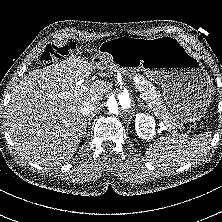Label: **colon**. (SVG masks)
I'll use <instances>...</instances> for the list:
<instances>
[{
    "mask_svg": "<svg viewBox=\"0 0 222 222\" xmlns=\"http://www.w3.org/2000/svg\"><path fill=\"white\" fill-rule=\"evenodd\" d=\"M73 48V43H68L63 46L49 45L43 51L41 60L45 63H53L69 54L70 50Z\"/></svg>",
    "mask_w": 222,
    "mask_h": 222,
    "instance_id": "obj_1",
    "label": "colon"
}]
</instances>
